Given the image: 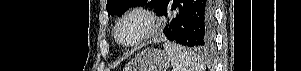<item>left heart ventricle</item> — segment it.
Wrapping results in <instances>:
<instances>
[{
	"mask_svg": "<svg viewBox=\"0 0 301 71\" xmlns=\"http://www.w3.org/2000/svg\"><path fill=\"white\" fill-rule=\"evenodd\" d=\"M145 22L139 17L125 20L119 28V38L123 42H132L144 30Z\"/></svg>",
	"mask_w": 301,
	"mask_h": 71,
	"instance_id": "left-heart-ventricle-1",
	"label": "left heart ventricle"
}]
</instances>
